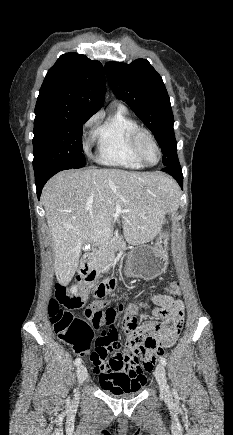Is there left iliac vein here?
<instances>
[{"label": "left iliac vein", "mask_w": 233, "mask_h": 435, "mask_svg": "<svg viewBox=\"0 0 233 435\" xmlns=\"http://www.w3.org/2000/svg\"><path fill=\"white\" fill-rule=\"evenodd\" d=\"M155 376H156V380L158 382L161 394L163 396H166L169 393V389H168V385H167V381H166V375H165V369L163 364L159 363L156 366V370H155Z\"/></svg>", "instance_id": "1"}]
</instances>
